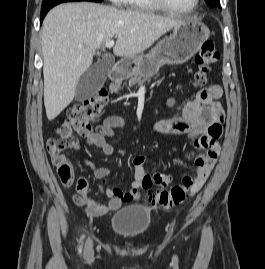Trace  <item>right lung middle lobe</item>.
Here are the masks:
<instances>
[{
    "instance_id": "1",
    "label": "right lung middle lobe",
    "mask_w": 265,
    "mask_h": 269,
    "mask_svg": "<svg viewBox=\"0 0 265 269\" xmlns=\"http://www.w3.org/2000/svg\"><path fill=\"white\" fill-rule=\"evenodd\" d=\"M94 2H102L103 0H92Z\"/></svg>"
}]
</instances>
